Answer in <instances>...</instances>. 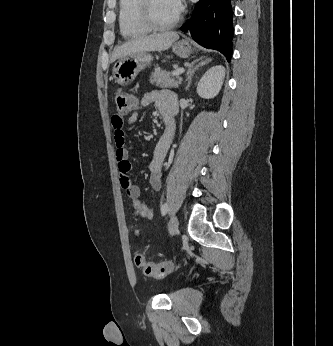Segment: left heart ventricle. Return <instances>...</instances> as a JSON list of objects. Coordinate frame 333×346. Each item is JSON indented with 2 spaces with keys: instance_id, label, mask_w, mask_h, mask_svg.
<instances>
[{
  "instance_id": "1",
  "label": "left heart ventricle",
  "mask_w": 333,
  "mask_h": 346,
  "mask_svg": "<svg viewBox=\"0 0 333 346\" xmlns=\"http://www.w3.org/2000/svg\"><path fill=\"white\" fill-rule=\"evenodd\" d=\"M152 12L158 22L165 23L175 16L177 10L169 0H152Z\"/></svg>"
}]
</instances>
